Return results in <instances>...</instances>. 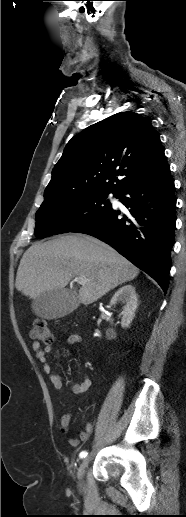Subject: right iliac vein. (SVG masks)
Returning a JSON list of instances; mask_svg holds the SVG:
<instances>
[{"label":"right iliac vein","mask_w":186,"mask_h":517,"mask_svg":"<svg viewBox=\"0 0 186 517\" xmlns=\"http://www.w3.org/2000/svg\"><path fill=\"white\" fill-rule=\"evenodd\" d=\"M89 461H90V458L89 457H86L85 459H83L81 465H80V468H79V472H78V478H79V482H80V485H82V479H83V475L85 473V470L89 464Z\"/></svg>","instance_id":"right-iliac-vein-1"}]
</instances>
